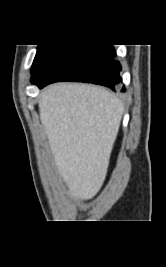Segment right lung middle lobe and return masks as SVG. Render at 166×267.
I'll list each match as a JSON object with an SVG mask.
<instances>
[{"label": "right lung middle lobe", "mask_w": 166, "mask_h": 267, "mask_svg": "<svg viewBox=\"0 0 166 267\" xmlns=\"http://www.w3.org/2000/svg\"><path fill=\"white\" fill-rule=\"evenodd\" d=\"M52 47V45H38L37 53L33 61L31 73L35 70L37 65L40 63L41 59L48 52V50Z\"/></svg>", "instance_id": "1"}]
</instances>
